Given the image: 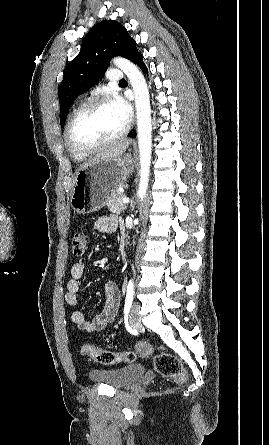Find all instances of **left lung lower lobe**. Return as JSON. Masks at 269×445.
I'll use <instances>...</instances> for the list:
<instances>
[{"label":"left lung lower lobe","mask_w":269,"mask_h":445,"mask_svg":"<svg viewBox=\"0 0 269 445\" xmlns=\"http://www.w3.org/2000/svg\"><path fill=\"white\" fill-rule=\"evenodd\" d=\"M135 64H137L140 68H142L145 73H148V69H147L146 65L144 64V62H143V56L141 54L138 57V59L136 60ZM135 136H136V132L131 134L132 138H134Z\"/></svg>","instance_id":"1"}]
</instances>
